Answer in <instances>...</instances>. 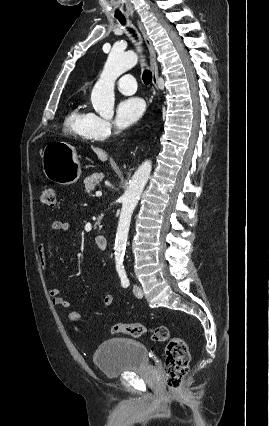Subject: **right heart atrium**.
<instances>
[{"label":"right heart atrium","mask_w":269,"mask_h":426,"mask_svg":"<svg viewBox=\"0 0 269 426\" xmlns=\"http://www.w3.org/2000/svg\"><path fill=\"white\" fill-rule=\"evenodd\" d=\"M114 134L110 121L94 115L91 125V135L96 140H105Z\"/></svg>","instance_id":"right-heart-atrium-1"}]
</instances>
